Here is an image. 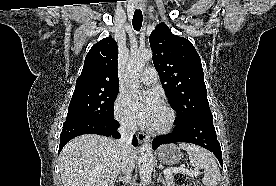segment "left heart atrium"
I'll use <instances>...</instances> for the list:
<instances>
[{"mask_svg": "<svg viewBox=\"0 0 276 186\" xmlns=\"http://www.w3.org/2000/svg\"><path fill=\"white\" fill-rule=\"evenodd\" d=\"M161 107L160 100L152 93L132 92L128 96V110L142 126L151 127Z\"/></svg>", "mask_w": 276, "mask_h": 186, "instance_id": "1", "label": "left heart atrium"}]
</instances>
